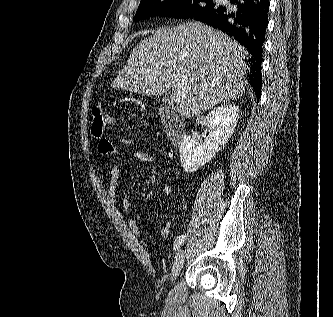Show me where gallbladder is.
<instances>
[{
	"instance_id": "gallbladder-1",
	"label": "gallbladder",
	"mask_w": 333,
	"mask_h": 317,
	"mask_svg": "<svg viewBox=\"0 0 333 317\" xmlns=\"http://www.w3.org/2000/svg\"><path fill=\"white\" fill-rule=\"evenodd\" d=\"M162 101H163L164 103H166V102L169 101V98H163Z\"/></svg>"
}]
</instances>
